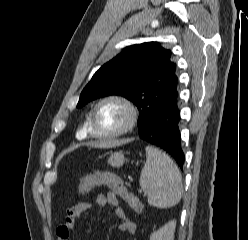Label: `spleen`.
<instances>
[{"mask_svg":"<svg viewBox=\"0 0 248 240\" xmlns=\"http://www.w3.org/2000/svg\"><path fill=\"white\" fill-rule=\"evenodd\" d=\"M139 183L148 203L154 207H173L182 197V176L177 165L166 153L152 146L146 147V163Z\"/></svg>","mask_w":248,"mask_h":240,"instance_id":"spleen-1","label":"spleen"}]
</instances>
